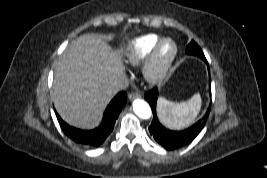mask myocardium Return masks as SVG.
Segmentation results:
<instances>
[{"label": "myocardium", "mask_w": 267, "mask_h": 178, "mask_svg": "<svg viewBox=\"0 0 267 178\" xmlns=\"http://www.w3.org/2000/svg\"><path fill=\"white\" fill-rule=\"evenodd\" d=\"M167 42H170L173 45V51L169 57L164 60H160L161 49ZM178 55L179 47L173 39H160L143 64L142 72L145 80L150 84H158L162 82L171 70Z\"/></svg>", "instance_id": "obj_1"}]
</instances>
